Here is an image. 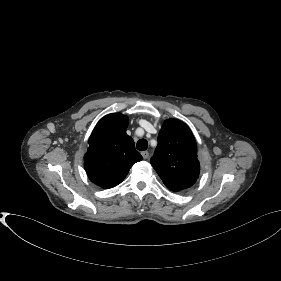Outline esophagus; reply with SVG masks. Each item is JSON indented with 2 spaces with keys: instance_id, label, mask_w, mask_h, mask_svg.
<instances>
[{
  "instance_id": "esophagus-1",
  "label": "esophagus",
  "mask_w": 281,
  "mask_h": 281,
  "mask_svg": "<svg viewBox=\"0 0 281 281\" xmlns=\"http://www.w3.org/2000/svg\"><path fill=\"white\" fill-rule=\"evenodd\" d=\"M141 155L144 159H147L149 157V152L148 151H143L141 152Z\"/></svg>"
}]
</instances>
